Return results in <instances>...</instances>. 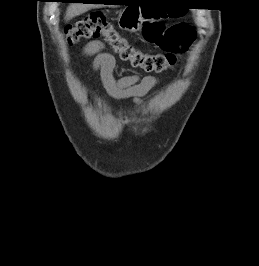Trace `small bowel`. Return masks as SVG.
Segmentation results:
<instances>
[{
  "mask_svg": "<svg viewBox=\"0 0 259 266\" xmlns=\"http://www.w3.org/2000/svg\"><path fill=\"white\" fill-rule=\"evenodd\" d=\"M102 49L101 42L92 41L85 46L84 54L92 57V68L99 73L106 92L114 99L131 100L135 104H140L142 98L158 83V78L131 76L116 80L114 77L115 59L112 55L102 52Z\"/></svg>",
  "mask_w": 259,
  "mask_h": 266,
  "instance_id": "c3829d8e",
  "label": "small bowel"
}]
</instances>
